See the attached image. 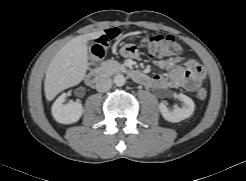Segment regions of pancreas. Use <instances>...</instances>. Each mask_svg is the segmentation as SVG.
Listing matches in <instances>:
<instances>
[{
    "label": "pancreas",
    "mask_w": 246,
    "mask_h": 181,
    "mask_svg": "<svg viewBox=\"0 0 246 181\" xmlns=\"http://www.w3.org/2000/svg\"><path fill=\"white\" fill-rule=\"evenodd\" d=\"M100 68L106 74H113L125 69V67L116 60H107L101 64Z\"/></svg>",
    "instance_id": "obj_1"
}]
</instances>
